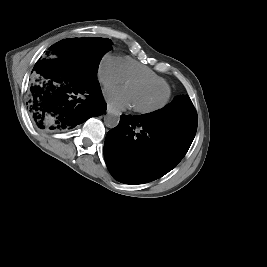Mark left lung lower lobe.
I'll use <instances>...</instances> for the list:
<instances>
[{"mask_svg":"<svg viewBox=\"0 0 267 267\" xmlns=\"http://www.w3.org/2000/svg\"><path fill=\"white\" fill-rule=\"evenodd\" d=\"M197 124L173 118L121 115L104 144L111 175L119 182L140 184L171 171L188 151Z\"/></svg>","mask_w":267,"mask_h":267,"instance_id":"1","label":"left lung lower lobe"}]
</instances>
